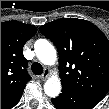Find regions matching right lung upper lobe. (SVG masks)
I'll use <instances>...</instances> for the list:
<instances>
[{
    "mask_svg": "<svg viewBox=\"0 0 109 109\" xmlns=\"http://www.w3.org/2000/svg\"><path fill=\"white\" fill-rule=\"evenodd\" d=\"M36 32L35 26L18 21L1 23V103L25 88L31 79L22 49Z\"/></svg>",
    "mask_w": 109,
    "mask_h": 109,
    "instance_id": "cb5924a9",
    "label": "right lung upper lobe"
}]
</instances>
